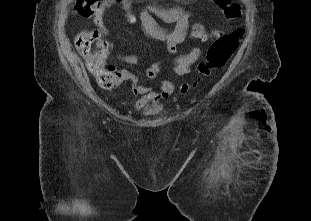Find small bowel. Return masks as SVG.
Segmentation results:
<instances>
[{
	"mask_svg": "<svg viewBox=\"0 0 311 221\" xmlns=\"http://www.w3.org/2000/svg\"><path fill=\"white\" fill-rule=\"evenodd\" d=\"M106 4L101 5L94 17V23L104 36H109L110 32L103 21V13ZM156 17L166 21L175 22V28L167 31L156 21ZM190 13L180 6L163 7L154 3L145 4L139 12L144 33L151 39L165 43L166 51L169 55H174L177 51V45L182 43L187 35ZM114 43L109 44L112 49ZM199 48H193L188 54L179 55L175 58V75L182 76L189 72L190 66L200 57ZM118 59L126 64L135 65L138 63V57L130 54L118 53ZM164 60L151 63L145 70L144 76L147 80H153L157 77ZM119 82L128 81L131 83L132 94L134 97L133 108L137 112L149 115L157 111L161 103L168 99L174 91V78H165L160 89H154L147 83L141 82L138 76L128 68H119L116 70Z\"/></svg>",
	"mask_w": 311,
	"mask_h": 221,
	"instance_id": "c3829d8e",
	"label": "small bowel"
}]
</instances>
